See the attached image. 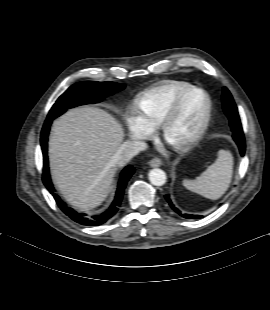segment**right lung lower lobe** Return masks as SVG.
<instances>
[{"mask_svg": "<svg viewBox=\"0 0 270 310\" xmlns=\"http://www.w3.org/2000/svg\"><path fill=\"white\" fill-rule=\"evenodd\" d=\"M52 120L46 119L42 132H41V147L43 152V183L48 189V191L54 196V199L60 209L68 215L72 220L75 222L87 225V226H98L105 223L111 217H113L121 204V200L123 197L124 189L126 187L127 181L130 179L132 174L134 173L135 169L132 166H127L121 173V177L118 183L116 196L112 204L109 206L107 210L103 213L94 215V216H87L86 214L78 213L72 208L68 207L60 197L55 193V189L50 179L49 175V168H48V158H47V141H48V134L50 130Z\"/></svg>", "mask_w": 270, "mask_h": 310, "instance_id": "obj_1", "label": "right lung lower lobe"}]
</instances>
